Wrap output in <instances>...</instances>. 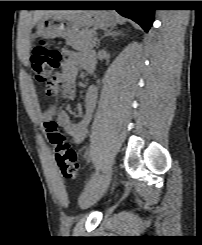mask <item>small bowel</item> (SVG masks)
<instances>
[{"label":"small bowel","instance_id":"obj_1","mask_svg":"<svg viewBox=\"0 0 202 245\" xmlns=\"http://www.w3.org/2000/svg\"><path fill=\"white\" fill-rule=\"evenodd\" d=\"M95 59L93 56H83L75 51H64V61L62 73L57 76L54 83L57 88L55 94L63 92L65 98H75V82L80 68L90 72L95 69ZM97 101V89L89 88L84 98V113L78 121L72 120L67 111L57 112L55 108L47 109L40 114V120L46 122L49 119H56L66 132L74 139L75 142H81L87 133V127L92 119V113Z\"/></svg>","mask_w":202,"mask_h":245}]
</instances>
